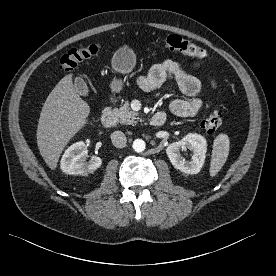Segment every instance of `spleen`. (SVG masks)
<instances>
[{"label":"spleen","instance_id":"spleen-1","mask_svg":"<svg viewBox=\"0 0 276 276\" xmlns=\"http://www.w3.org/2000/svg\"><path fill=\"white\" fill-rule=\"evenodd\" d=\"M230 141L226 134H219L213 142L210 176L214 177L225 164L229 155Z\"/></svg>","mask_w":276,"mask_h":276}]
</instances>
